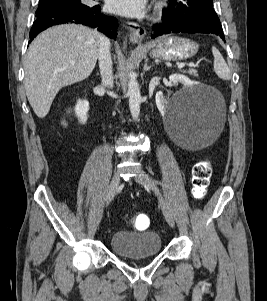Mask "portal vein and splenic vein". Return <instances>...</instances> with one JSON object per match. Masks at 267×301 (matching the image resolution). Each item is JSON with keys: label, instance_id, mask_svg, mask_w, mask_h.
Segmentation results:
<instances>
[{"label": "portal vein and splenic vein", "instance_id": "obj_1", "mask_svg": "<svg viewBox=\"0 0 267 301\" xmlns=\"http://www.w3.org/2000/svg\"><path fill=\"white\" fill-rule=\"evenodd\" d=\"M189 67H194L195 66V64L194 63H189V64H187ZM184 65H179L178 67L179 68H182Z\"/></svg>", "mask_w": 267, "mask_h": 301}]
</instances>
